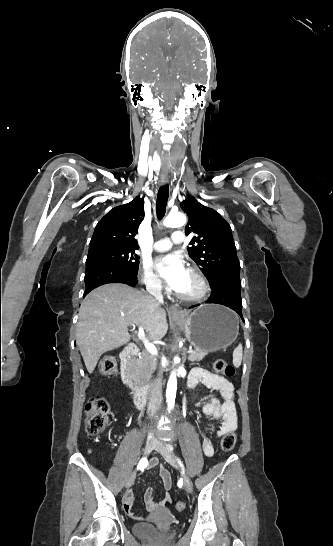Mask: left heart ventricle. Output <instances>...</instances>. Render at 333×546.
Returning <instances> with one entry per match:
<instances>
[{"label": "left heart ventricle", "mask_w": 333, "mask_h": 546, "mask_svg": "<svg viewBox=\"0 0 333 546\" xmlns=\"http://www.w3.org/2000/svg\"><path fill=\"white\" fill-rule=\"evenodd\" d=\"M199 291H200V284L198 280L190 273L187 285L180 293L185 295H194V294H197Z\"/></svg>", "instance_id": "b2bd125f"}]
</instances>
